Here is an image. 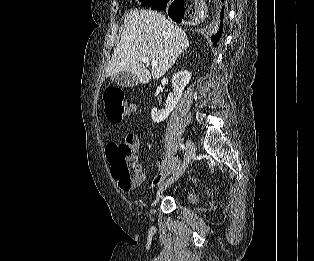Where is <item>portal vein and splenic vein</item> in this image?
I'll list each match as a JSON object with an SVG mask.
<instances>
[{
  "mask_svg": "<svg viewBox=\"0 0 314 261\" xmlns=\"http://www.w3.org/2000/svg\"><path fill=\"white\" fill-rule=\"evenodd\" d=\"M142 61L145 64H151L152 67H155L157 65V62L155 60L150 61L148 57H143Z\"/></svg>",
  "mask_w": 314,
  "mask_h": 261,
  "instance_id": "1",
  "label": "portal vein and splenic vein"
}]
</instances>
